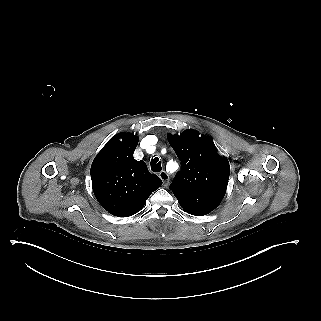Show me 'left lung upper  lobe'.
Listing matches in <instances>:
<instances>
[{"label": "left lung upper lobe", "mask_w": 321, "mask_h": 321, "mask_svg": "<svg viewBox=\"0 0 321 321\" xmlns=\"http://www.w3.org/2000/svg\"><path fill=\"white\" fill-rule=\"evenodd\" d=\"M168 140L181 161V171L169 187L173 193L226 191L229 162L218 154L209 137L189 129L180 135L168 134Z\"/></svg>", "instance_id": "obj_1"}]
</instances>
